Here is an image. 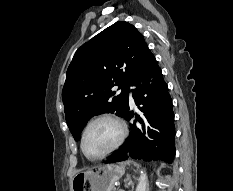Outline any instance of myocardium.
<instances>
[{"mask_svg": "<svg viewBox=\"0 0 233 191\" xmlns=\"http://www.w3.org/2000/svg\"><path fill=\"white\" fill-rule=\"evenodd\" d=\"M101 120H106V121H110L113 124H115L118 128V137L116 139V141L113 143V145L103 154L98 155V156H92L89 155L86 150H85V136L87 133L88 128L94 124L97 121H101ZM127 135V127L125 125V123L119 119L118 117L111 115V114H100L97 115L95 117H93L92 119H90L87 124L85 125V127L83 128L82 134H81V140H80V146H81V150L83 152V154L91 160H101L105 157H107L108 155H110L111 153H113L115 150H117L124 142L125 138Z\"/></svg>", "mask_w": 233, "mask_h": 191, "instance_id": "f54148a6", "label": "myocardium"}]
</instances>
